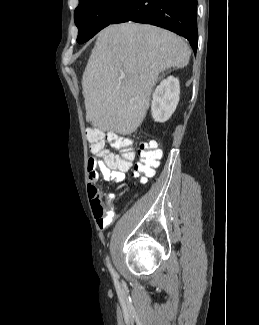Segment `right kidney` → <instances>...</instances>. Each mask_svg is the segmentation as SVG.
<instances>
[{
  "mask_svg": "<svg viewBox=\"0 0 259 325\" xmlns=\"http://www.w3.org/2000/svg\"><path fill=\"white\" fill-rule=\"evenodd\" d=\"M180 95L179 79L173 76L161 81L156 87L151 102V114L156 122H166L174 113Z\"/></svg>",
  "mask_w": 259,
  "mask_h": 325,
  "instance_id": "right-kidney-1",
  "label": "right kidney"
}]
</instances>
